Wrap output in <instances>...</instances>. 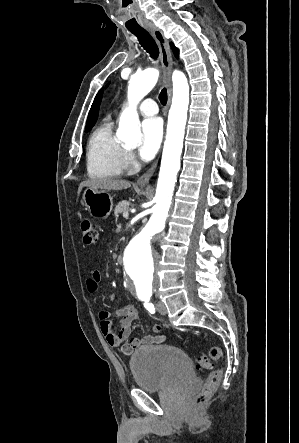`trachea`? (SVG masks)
Returning <instances> with one entry per match:
<instances>
[{"mask_svg":"<svg viewBox=\"0 0 299 443\" xmlns=\"http://www.w3.org/2000/svg\"><path fill=\"white\" fill-rule=\"evenodd\" d=\"M132 34H134L137 38L141 46L149 53L150 57L156 60L159 56V49L154 41V39L150 36V34L144 30H130ZM159 100L162 105L167 103V90L163 88L159 94Z\"/></svg>","mask_w":299,"mask_h":443,"instance_id":"obj_1","label":"trachea"}]
</instances>
